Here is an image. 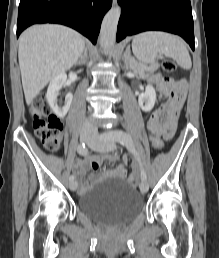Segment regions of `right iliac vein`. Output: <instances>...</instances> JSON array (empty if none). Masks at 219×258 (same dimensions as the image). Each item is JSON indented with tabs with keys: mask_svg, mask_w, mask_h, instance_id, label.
Segmentation results:
<instances>
[{
	"mask_svg": "<svg viewBox=\"0 0 219 258\" xmlns=\"http://www.w3.org/2000/svg\"><path fill=\"white\" fill-rule=\"evenodd\" d=\"M80 139L83 142H88L91 139V134L89 132L86 131H82L80 134ZM69 188L72 191H75L77 189V182L76 181H70L69 182Z\"/></svg>",
	"mask_w": 219,
	"mask_h": 258,
	"instance_id": "right-iliac-vein-1",
	"label": "right iliac vein"
}]
</instances>
